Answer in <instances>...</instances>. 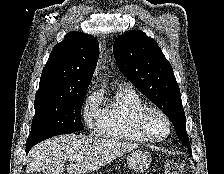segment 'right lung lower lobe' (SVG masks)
<instances>
[{
  "mask_svg": "<svg viewBox=\"0 0 224 174\" xmlns=\"http://www.w3.org/2000/svg\"><path fill=\"white\" fill-rule=\"evenodd\" d=\"M33 146H27L26 147V152L28 153V151L32 148Z\"/></svg>",
  "mask_w": 224,
  "mask_h": 174,
  "instance_id": "obj_1",
  "label": "right lung lower lobe"
}]
</instances>
